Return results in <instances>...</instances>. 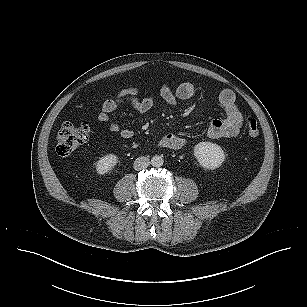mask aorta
Returning a JSON list of instances; mask_svg holds the SVG:
<instances>
[{
    "mask_svg": "<svg viewBox=\"0 0 307 307\" xmlns=\"http://www.w3.org/2000/svg\"><path fill=\"white\" fill-rule=\"evenodd\" d=\"M150 163H151V165L153 167L159 168V167H161L163 165L164 160H163V158L161 156L155 155V156L152 157Z\"/></svg>",
    "mask_w": 307,
    "mask_h": 307,
    "instance_id": "obj_1",
    "label": "aorta"
}]
</instances>
